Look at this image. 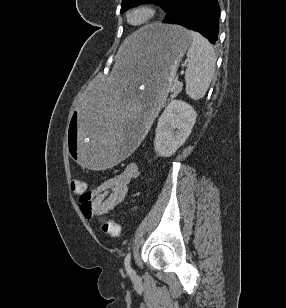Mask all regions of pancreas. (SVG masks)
<instances>
[{
    "label": "pancreas",
    "mask_w": 286,
    "mask_h": 308,
    "mask_svg": "<svg viewBox=\"0 0 286 308\" xmlns=\"http://www.w3.org/2000/svg\"><path fill=\"white\" fill-rule=\"evenodd\" d=\"M182 90V86L181 85H178L176 87L173 88L172 90V94L170 96L171 99L175 98Z\"/></svg>",
    "instance_id": "1"
}]
</instances>
